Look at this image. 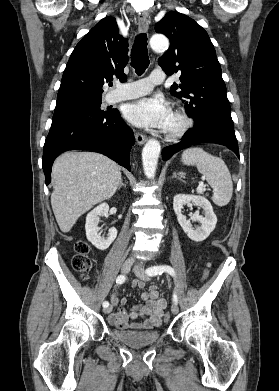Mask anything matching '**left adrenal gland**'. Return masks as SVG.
<instances>
[{
    "mask_svg": "<svg viewBox=\"0 0 279 391\" xmlns=\"http://www.w3.org/2000/svg\"><path fill=\"white\" fill-rule=\"evenodd\" d=\"M172 178H177L179 180H182L181 178L177 177L176 173L173 174Z\"/></svg>",
    "mask_w": 279,
    "mask_h": 391,
    "instance_id": "obj_1",
    "label": "left adrenal gland"
}]
</instances>
